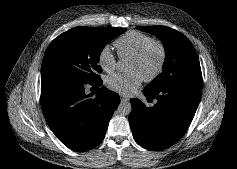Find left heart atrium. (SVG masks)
<instances>
[{
    "label": "left heart atrium",
    "instance_id": "39dd6f15",
    "mask_svg": "<svg viewBox=\"0 0 237 169\" xmlns=\"http://www.w3.org/2000/svg\"><path fill=\"white\" fill-rule=\"evenodd\" d=\"M142 77L136 71L114 73L106 78V86L118 93H132L142 82Z\"/></svg>",
    "mask_w": 237,
    "mask_h": 169
}]
</instances>
